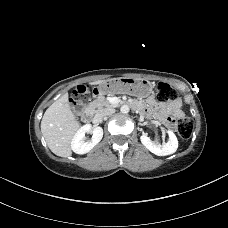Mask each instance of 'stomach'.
I'll return each mask as SVG.
<instances>
[{
	"mask_svg": "<svg viewBox=\"0 0 228 228\" xmlns=\"http://www.w3.org/2000/svg\"><path fill=\"white\" fill-rule=\"evenodd\" d=\"M153 88V83L144 78L119 77L103 81L94 93L96 96L129 94L144 98L152 93Z\"/></svg>",
	"mask_w": 228,
	"mask_h": 228,
	"instance_id": "0dacf381",
	"label": "stomach"
}]
</instances>
